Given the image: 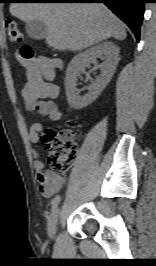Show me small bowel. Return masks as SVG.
I'll return each mask as SVG.
<instances>
[{"mask_svg": "<svg viewBox=\"0 0 156 266\" xmlns=\"http://www.w3.org/2000/svg\"><path fill=\"white\" fill-rule=\"evenodd\" d=\"M19 61L27 70V82L22 92L26 110L45 116L51 121L60 120L62 113L54 101L59 89L50 81L54 75V63L43 57L32 60L19 58ZM43 130L44 124L41 122L31 125L29 139L33 145L39 142V135ZM32 153L40 191L44 197L51 198L61 189L65 180L60 175L45 171L44 163L39 159V150L34 148Z\"/></svg>", "mask_w": 156, "mask_h": 266, "instance_id": "c3829d8e", "label": "small bowel"}]
</instances>
